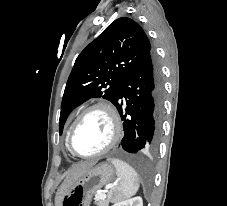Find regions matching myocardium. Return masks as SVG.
<instances>
[{"instance_id": "1", "label": "myocardium", "mask_w": 227, "mask_h": 206, "mask_svg": "<svg viewBox=\"0 0 227 206\" xmlns=\"http://www.w3.org/2000/svg\"><path fill=\"white\" fill-rule=\"evenodd\" d=\"M94 110H102L107 114V116L110 119L111 126H112V135H111L110 141L104 148H102L101 150H99L95 153H92V154L82 155V154L77 153L73 149V146H72L73 135H74L75 130L78 127L79 123L84 118V116ZM121 136H122V123H121V119H120L118 111L110 102L100 100V101L94 102V103L90 104L89 106H87L77 116V118L74 120L73 124L71 125V127L68 131L66 145H67L68 151L75 157L88 159V158H94V157L101 156V155L107 153L108 151H110L119 142Z\"/></svg>"}]
</instances>
